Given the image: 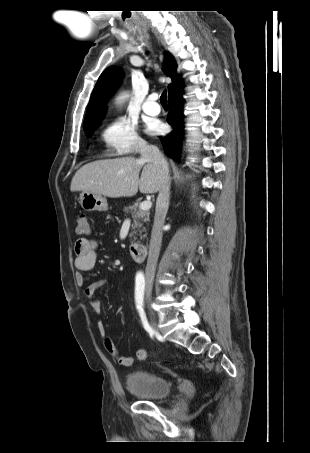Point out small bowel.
Masks as SVG:
<instances>
[{
  "mask_svg": "<svg viewBox=\"0 0 310 453\" xmlns=\"http://www.w3.org/2000/svg\"><path fill=\"white\" fill-rule=\"evenodd\" d=\"M97 243L94 240L88 238H79L76 240L74 245V268L76 270V283L82 286L85 282L84 272L94 268L97 260ZM109 280L102 279L95 281L88 285L84 290L83 294L89 299L92 309L96 313L102 311V305L99 300L95 298V293L98 289L106 286ZM97 329L102 337L103 345L108 354L115 359L120 365L129 367L133 364V358L122 355L113 340L107 336L106 327L102 321L97 323ZM147 358V352L145 349L140 348L136 351V359L144 361Z\"/></svg>",
  "mask_w": 310,
  "mask_h": 453,
  "instance_id": "obj_1",
  "label": "small bowel"
}]
</instances>
